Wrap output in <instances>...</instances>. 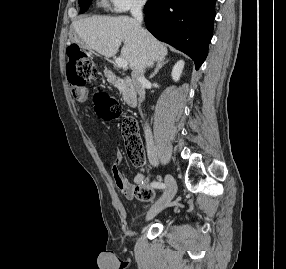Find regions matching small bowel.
I'll list each match as a JSON object with an SVG mask.
<instances>
[{
    "instance_id": "small-bowel-1",
    "label": "small bowel",
    "mask_w": 286,
    "mask_h": 269,
    "mask_svg": "<svg viewBox=\"0 0 286 269\" xmlns=\"http://www.w3.org/2000/svg\"><path fill=\"white\" fill-rule=\"evenodd\" d=\"M75 98H77L78 100H83L85 98V90L83 88L79 89L78 94ZM121 165H122V155L119 151H116L115 161L111 167V172L114 178L115 185L126 198L133 199L135 197L134 195L135 185L145 180L146 170L144 166H142L141 172L138 173L134 178V183H131L124 176L121 170Z\"/></svg>"
}]
</instances>
